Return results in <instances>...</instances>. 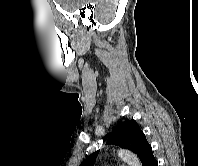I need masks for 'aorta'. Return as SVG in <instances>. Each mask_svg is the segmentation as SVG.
Instances as JSON below:
<instances>
[{
	"label": "aorta",
	"instance_id": "762f6f07",
	"mask_svg": "<svg viewBox=\"0 0 198 166\" xmlns=\"http://www.w3.org/2000/svg\"><path fill=\"white\" fill-rule=\"evenodd\" d=\"M118 156L125 161L128 166H142L139 158L129 150H119Z\"/></svg>",
	"mask_w": 198,
	"mask_h": 166
}]
</instances>
